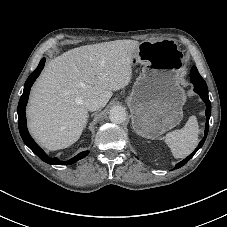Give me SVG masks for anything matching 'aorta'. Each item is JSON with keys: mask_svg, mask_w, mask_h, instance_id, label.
<instances>
[{"mask_svg": "<svg viewBox=\"0 0 227 227\" xmlns=\"http://www.w3.org/2000/svg\"><path fill=\"white\" fill-rule=\"evenodd\" d=\"M126 111L121 106L113 107L109 112V118L113 123L120 124L126 120Z\"/></svg>", "mask_w": 227, "mask_h": 227, "instance_id": "762f6f07", "label": "aorta"}]
</instances>
